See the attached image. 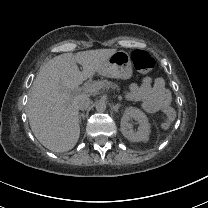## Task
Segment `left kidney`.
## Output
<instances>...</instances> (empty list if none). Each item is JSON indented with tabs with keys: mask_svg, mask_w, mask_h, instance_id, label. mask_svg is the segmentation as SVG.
Returning <instances> with one entry per match:
<instances>
[{
	"mask_svg": "<svg viewBox=\"0 0 208 208\" xmlns=\"http://www.w3.org/2000/svg\"><path fill=\"white\" fill-rule=\"evenodd\" d=\"M132 118L139 124L137 131H134L132 129V124L129 123L130 119ZM121 132L129 141H148L150 134V123L148 122L147 116L138 108H126L121 118Z\"/></svg>",
	"mask_w": 208,
	"mask_h": 208,
	"instance_id": "5707ae66",
	"label": "left kidney"
}]
</instances>
